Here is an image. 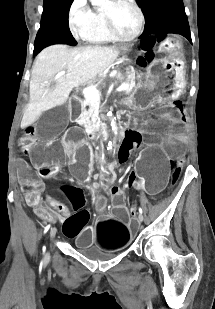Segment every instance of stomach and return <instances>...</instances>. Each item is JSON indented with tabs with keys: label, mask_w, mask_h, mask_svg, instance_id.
I'll list each match as a JSON object with an SVG mask.
<instances>
[{
	"label": "stomach",
	"mask_w": 215,
	"mask_h": 309,
	"mask_svg": "<svg viewBox=\"0 0 215 309\" xmlns=\"http://www.w3.org/2000/svg\"><path fill=\"white\" fill-rule=\"evenodd\" d=\"M120 50L126 53L129 47ZM158 52L162 53V57L151 63L145 74L138 76L136 86L130 91V99L134 103L174 99L185 87V66L180 41L167 37L160 44Z\"/></svg>",
	"instance_id": "0dacf381"
}]
</instances>
